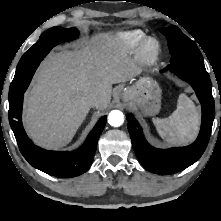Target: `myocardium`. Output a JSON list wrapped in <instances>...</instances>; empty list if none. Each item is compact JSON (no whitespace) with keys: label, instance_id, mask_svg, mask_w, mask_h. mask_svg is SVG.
<instances>
[{"label":"myocardium","instance_id":"f54148a6","mask_svg":"<svg viewBox=\"0 0 221 221\" xmlns=\"http://www.w3.org/2000/svg\"><path fill=\"white\" fill-rule=\"evenodd\" d=\"M160 54V43L154 37H146L142 40L139 56L143 63L150 65L154 63Z\"/></svg>","mask_w":221,"mask_h":221}]
</instances>
